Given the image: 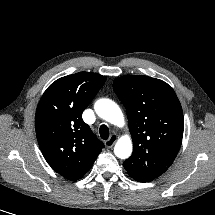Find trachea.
I'll return each instance as SVG.
<instances>
[{
  "mask_svg": "<svg viewBox=\"0 0 215 215\" xmlns=\"http://www.w3.org/2000/svg\"><path fill=\"white\" fill-rule=\"evenodd\" d=\"M100 136L102 139L107 140L109 137V128L106 125H101L99 128Z\"/></svg>",
  "mask_w": 215,
  "mask_h": 215,
  "instance_id": "3493384b",
  "label": "trachea"
}]
</instances>
